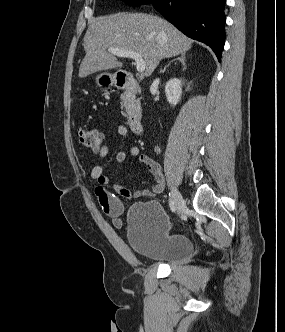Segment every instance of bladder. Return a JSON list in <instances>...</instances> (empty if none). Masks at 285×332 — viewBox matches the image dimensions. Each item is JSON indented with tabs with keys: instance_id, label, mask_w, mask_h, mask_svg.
I'll return each mask as SVG.
<instances>
[{
	"instance_id": "bladder-1",
	"label": "bladder",
	"mask_w": 285,
	"mask_h": 332,
	"mask_svg": "<svg viewBox=\"0 0 285 332\" xmlns=\"http://www.w3.org/2000/svg\"><path fill=\"white\" fill-rule=\"evenodd\" d=\"M127 239L139 256L170 265H183L194 257L191 240L170 231L169 219L155 201L134 204L126 218Z\"/></svg>"
}]
</instances>
